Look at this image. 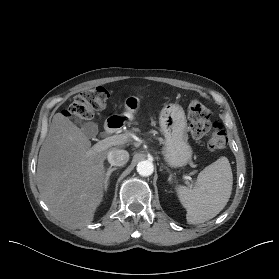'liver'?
I'll return each instance as SVG.
<instances>
[{
	"label": "liver",
	"instance_id": "1",
	"mask_svg": "<svg viewBox=\"0 0 279 279\" xmlns=\"http://www.w3.org/2000/svg\"><path fill=\"white\" fill-rule=\"evenodd\" d=\"M114 148L91 152L80 128L62 113L53 116L39 152L36 182L42 200L70 228L93 221L105 190L104 161Z\"/></svg>",
	"mask_w": 279,
	"mask_h": 279
}]
</instances>
